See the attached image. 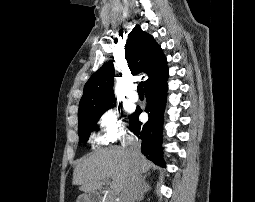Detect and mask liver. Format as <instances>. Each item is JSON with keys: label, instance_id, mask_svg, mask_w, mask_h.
Masks as SVG:
<instances>
[{"label": "liver", "instance_id": "6515ba94", "mask_svg": "<svg viewBox=\"0 0 255 202\" xmlns=\"http://www.w3.org/2000/svg\"><path fill=\"white\" fill-rule=\"evenodd\" d=\"M135 166L142 174L149 170L151 163L143 155L135 163L128 149L122 147L100 149L78 162L73 172L72 184L78 185L80 191L89 193L99 190L110 178V187L119 194Z\"/></svg>", "mask_w": 255, "mask_h": 202}]
</instances>
